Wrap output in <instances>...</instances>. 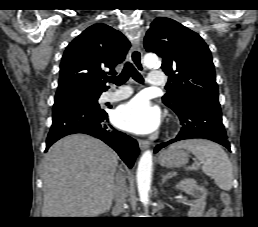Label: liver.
Here are the masks:
<instances>
[{"label": "liver", "mask_w": 258, "mask_h": 227, "mask_svg": "<svg viewBox=\"0 0 258 227\" xmlns=\"http://www.w3.org/2000/svg\"><path fill=\"white\" fill-rule=\"evenodd\" d=\"M117 154L102 141L73 134L53 144L43 160L42 217H94L110 210Z\"/></svg>", "instance_id": "liver-1"}]
</instances>
